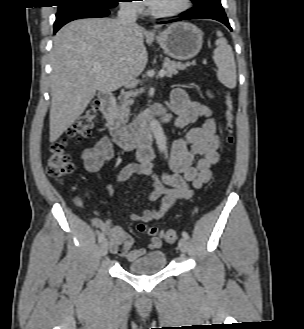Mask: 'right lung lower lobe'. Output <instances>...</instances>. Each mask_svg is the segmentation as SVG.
<instances>
[{
  "label": "right lung lower lobe",
  "mask_w": 304,
  "mask_h": 329,
  "mask_svg": "<svg viewBox=\"0 0 304 329\" xmlns=\"http://www.w3.org/2000/svg\"><path fill=\"white\" fill-rule=\"evenodd\" d=\"M117 5V4H116ZM110 7L103 6H75L62 10L56 14L54 34L66 23L80 18L105 17L110 14Z\"/></svg>",
  "instance_id": "1"
}]
</instances>
